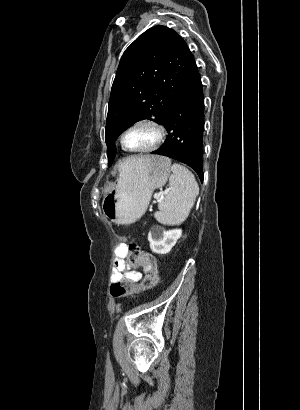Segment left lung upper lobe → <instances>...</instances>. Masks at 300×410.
Returning <instances> with one entry per match:
<instances>
[{"mask_svg":"<svg viewBox=\"0 0 300 410\" xmlns=\"http://www.w3.org/2000/svg\"><path fill=\"white\" fill-rule=\"evenodd\" d=\"M194 64L186 42L165 26L148 29L126 49L108 106L105 127L108 166L117 152L114 141L129 126L142 119L162 123Z\"/></svg>","mask_w":300,"mask_h":410,"instance_id":"1","label":"left lung upper lobe"}]
</instances>
